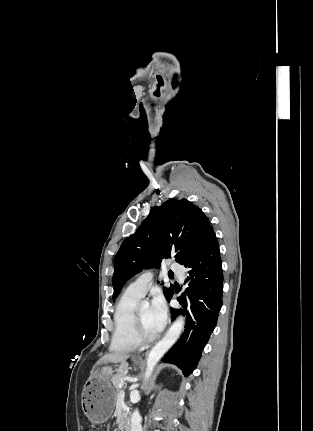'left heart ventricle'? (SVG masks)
Instances as JSON below:
<instances>
[{
	"mask_svg": "<svg viewBox=\"0 0 313 431\" xmlns=\"http://www.w3.org/2000/svg\"><path fill=\"white\" fill-rule=\"evenodd\" d=\"M140 314H141L142 325H143V330H144L145 334L152 335V334L156 333V331L153 327V324H152L150 306L142 305L140 307Z\"/></svg>",
	"mask_w": 313,
	"mask_h": 431,
	"instance_id": "left-heart-ventricle-1",
	"label": "left heart ventricle"
}]
</instances>
